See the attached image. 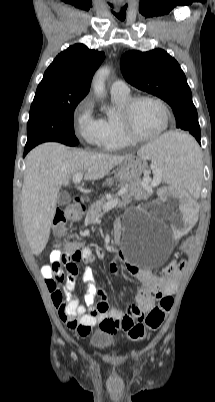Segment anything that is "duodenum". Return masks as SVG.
Instances as JSON below:
<instances>
[{
	"label": "duodenum",
	"instance_id": "1",
	"mask_svg": "<svg viewBox=\"0 0 215 402\" xmlns=\"http://www.w3.org/2000/svg\"><path fill=\"white\" fill-rule=\"evenodd\" d=\"M85 206L80 198H74L72 203L67 207L66 213L69 219L76 221L82 217Z\"/></svg>",
	"mask_w": 215,
	"mask_h": 402
}]
</instances>
